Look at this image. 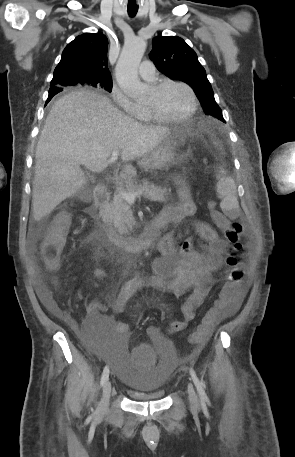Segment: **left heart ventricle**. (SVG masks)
<instances>
[{"label":"left heart ventricle","mask_w":295,"mask_h":457,"mask_svg":"<svg viewBox=\"0 0 295 457\" xmlns=\"http://www.w3.org/2000/svg\"><path fill=\"white\" fill-rule=\"evenodd\" d=\"M145 104L155 107L165 117H179L190 109L191 97L185 88L168 85L158 92L152 89Z\"/></svg>","instance_id":"obj_1"}]
</instances>
